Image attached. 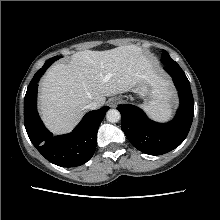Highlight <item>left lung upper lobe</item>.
<instances>
[{
  "instance_id": "1",
  "label": "left lung upper lobe",
  "mask_w": 220,
  "mask_h": 220,
  "mask_svg": "<svg viewBox=\"0 0 220 220\" xmlns=\"http://www.w3.org/2000/svg\"><path fill=\"white\" fill-rule=\"evenodd\" d=\"M161 61H162L163 64H167V63L176 64L177 63V62H175L174 60L171 59V57L169 56V54L165 50L162 51Z\"/></svg>"
}]
</instances>
